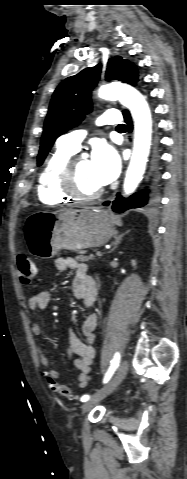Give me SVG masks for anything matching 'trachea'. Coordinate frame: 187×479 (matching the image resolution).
Listing matches in <instances>:
<instances>
[{
  "instance_id": "trachea-1",
  "label": "trachea",
  "mask_w": 187,
  "mask_h": 479,
  "mask_svg": "<svg viewBox=\"0 0 187 479\" xmlns=\"http://www.w3.org/2000/svg\"><path fill=\"white\" fill-rule=\"evenodd\" d=\"M126 128V125L124 124H120L117 126V129H125Z\"/></svg>"
}]
</instances>
